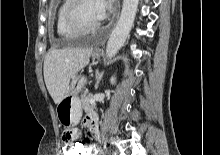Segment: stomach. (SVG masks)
<instances>
[{
  "label": "stomach",
  "mask_w": 220,
  "mask_h": 155,
  "mask_svg": "<svg viewBox=\"0 0 220 155\" xmlns=\"http://www.w3.org/2000/svg\"><path fill=\"white\" fill-rule=\"evenodd\" d=\"M93 57L99 58V54L95 53ZM85 83V77H82L78 82L74 81L68 87L64 98L57 105V118L63 126H76L79 123L82 116V105L78 94L83 89Z\"/></svg>",
  "instance_id": "stomach-1"
}]
</instances>
